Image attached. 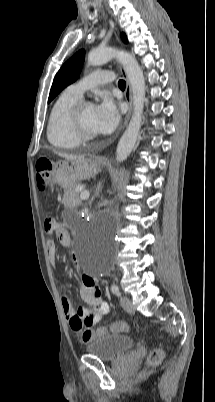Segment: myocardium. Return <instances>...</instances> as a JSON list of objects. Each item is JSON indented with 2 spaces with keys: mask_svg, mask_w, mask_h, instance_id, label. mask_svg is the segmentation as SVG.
<instances>
[{
  "mask_svg": "<svg viewBox=\"0 0 215 402\" xmlns=\"http://www.w3.org/2000/svg\"><path fill=\"white\" fill-rule=\"evenodd\" d=\"M90 104L89 102L85 100H80L78 101L70 110L69 114V123H70V128L74 135L80 140V141H89L94 138H96V134L87 132L81 122V112L82 109L85 105Z\"/></svg>",
  "mask_w": 215,
  "mask_h": 402,
  "instance_id": "myocardium-1",
  "label": "myocardium"
}]
</instances>
